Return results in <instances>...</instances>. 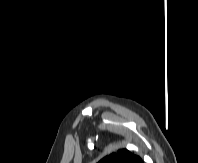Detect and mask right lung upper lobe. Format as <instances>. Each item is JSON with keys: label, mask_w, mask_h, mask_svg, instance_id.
<instances>
[{"label": "right lung upper lobe", "mask_w": 198, "mask_h": 163, "mask_svg": "<svg viewBox=\"0 0 198 163\" xmlns=\"http://www.w3.org/2000/svg\"><path fill=\"white\" fill-rule=\"evenodd\" d=\"M98 163H144L143 160L128 151L127 149H120L110 155L102 158Z\"/></svg>", "instance_id": "obj_1"}]
</instances>
